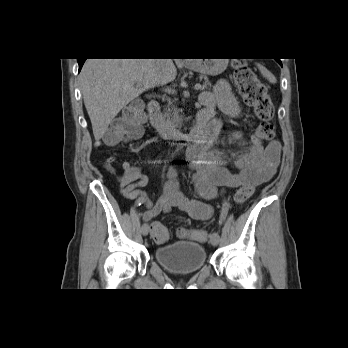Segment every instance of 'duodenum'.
Masks as SVG:
<instances>
[{
  "instance_id": "1",
  "label": "duodenum",
  "mask_w": 348,
  "mask_h": 348,
  "mask_svg": "<svg viewBox=\"0 0 348 348\" xmlns=\"http://www.w3.org/2000/svg\"><path fill=\"white\" fill-rule=\"evenodd\" d=\"M213 110V108L203 107L198 113L197 124L190 131L184 132L175 129L164 121L157 100H150L147 106L150 124L162 137L192 143V147L199 148H206L214 137L210 128Z\"/></svg>"
}]
</instances>
